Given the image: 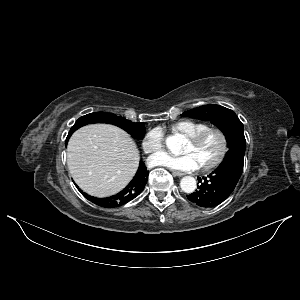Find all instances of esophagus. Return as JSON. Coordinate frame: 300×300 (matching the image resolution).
Segmentation results:
<instances>
[{"mask_svg": "<svg viewBox=\"0 0 300 300\" xmlns=\"http://www.w3.org/2000/svg\"><path fill=\"white\" fill-rule=\"evenodd\" d=\"M172 174H173L174 176H178V177H182V176L185 175L184 173L179 172V171H175V170L172 171Z\"/></svg>", "mask_w": 300, "mask_h": 300, "instance_id": "1", "label": "esophagus"}]
</instances>
